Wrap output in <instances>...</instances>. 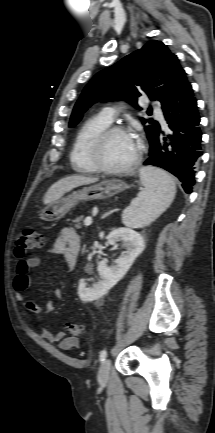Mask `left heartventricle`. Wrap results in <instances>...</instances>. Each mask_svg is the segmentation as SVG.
<instances>
[{
	"label": "left heart ventricle",
	"instance_id": "b2bd125f",
	"mask_svg": "<svg viewBox=\"0 0 215 433\" xmlns=\"http://www.w3.org/2000/svg\"><path fill=\"white\" fill-rule=\"evenodd\" d=\"M137 146V140L134 136L115 133L106 140L101 152V159L108 167H123L133 160Z\"/></svg>",
	"mask_w": 215,
	"mask_h": 433
}]
</instances>
